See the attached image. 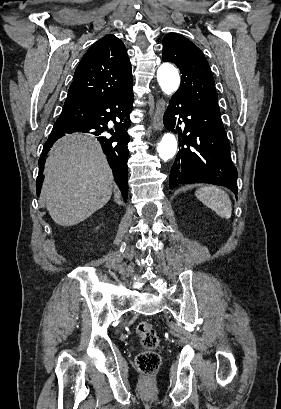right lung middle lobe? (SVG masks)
<instances>
[{"label": "right lung middle lobe", "instance_id": "1", "mask_svg": "<svg viewBox=\"0 0 281 409\" xmlns=\"http://www.w3.org/2000/svg\"><path fill=\"white\" fill-rule=\"evenodd\" d=\"M77 121H78V118L69 116V117H59L56 123H73Z\"/></svg>", "mask_w": 281, "mask_h": 409}]
</instances>
